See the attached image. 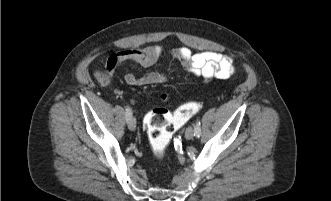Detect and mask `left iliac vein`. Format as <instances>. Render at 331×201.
Returning <instances> with one entry per match:
<instances>
[{
	"label": "left iliac vein",
	"mask_w": 331,
	"mask_h": 201,
	"mask_svg": "<svg viewBox=\"0 0 331 201\" xmlns=\"http://www.w3.org/2000/svg\"><path fill=\"white\" fill-rule=\"evenodd\" d=\"M195 134V130L193 129V127H188L185 131V138L190 140L194 137Z\"/></svg>",
	"instance_id": "left-iliac-vein-1"
}]
</instances>
